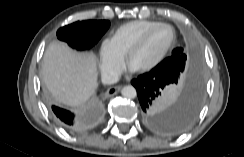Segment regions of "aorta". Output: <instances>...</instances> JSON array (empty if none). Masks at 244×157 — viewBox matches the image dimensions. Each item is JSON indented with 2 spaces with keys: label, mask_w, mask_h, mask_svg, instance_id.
<instances>
[{
  "label": "aorta",
  "mask_w": 244,
  "mask_h": 157,
  "mask_svg": "<svg viewBox=\"0 0 244 157\" xmlns=\"http://www.w3.org/2000/svg\"><path fill=\"white\" fill-rule=\"evenodd\" d=\"M121 94L123 97L125 98H128V99H133L136 97L137 95V92H136V89L131 86V85H127V86H124L121 90Z\"/></svg>",
  "instance_id": "aorta-1"
}]
</instances>
